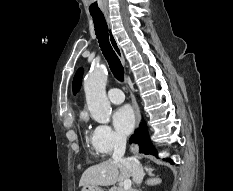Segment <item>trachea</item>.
Listing matches in <instances>:
<instances>
[{
  "instance_id": "obj_1",
  "label": "trachea",
  "mask_w": 233,
  "mask_h": 191,
  "mask_svg": "<svg viewBox=\"0 0 233 191\" xmlns=\"http://www.w3.org/2000/svg\"><path fill=\"white\" fill-rule=\"evenodd\" d=\"M91 16L94 21L95 32L102 53L106 58L114 77L122 82L124 80V68L110 45L108 26L105 17L103 14H91Z\"/></svg>"
}]
</instances>
